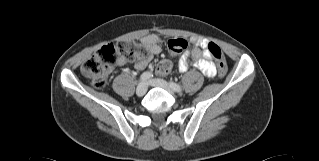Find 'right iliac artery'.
Wrapping results in <instances>:
<instances>
[{
	"label": "right iliac artery",
	"mask_w": 319,
	"mask_h": 161,
	"mask_svg": "<svg viewBox=\"0 0 319 161\" xmlns=\"http://www.w3.org/2000/svg\"><path fill=\"white\" fill-rule=\"evenodd\" d=\"M153 77V74L151 72H144L141 76H140V80L141 81H148Z\"/></svg>",
	"instance_id": "1"
}]
</instances>
